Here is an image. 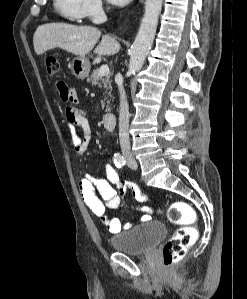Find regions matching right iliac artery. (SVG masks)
<instances>
[{"label": "right iliac artery", "mask_w": 247, "mask_h": 299, "mask_svg": "<svg viewBox=\"0 0 247 299\" xmlns=\"http://www.w3.org/2000/svg\"><path fill=\"white\" fill-rule=\"evenodd\" d=\"M114 163L118 168H120L125 165L126 160L121 154L117 153L114 155Z\"/></svg>", "instance_id": "right-iliac-artery-1"}]
</instances>
